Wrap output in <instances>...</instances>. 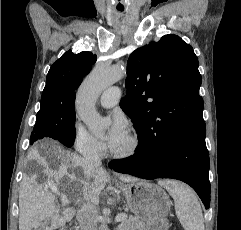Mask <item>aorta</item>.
Segmentation results:
<instances>
[{"mask_svg":"<svg viewBox=\"0 0 241 230\" xmlns=\"http://www.w3.org/2000/svg\"><path fill=\"white\" fill-rule=\"evenodd\" d=\"M126 74V67L123 64L113 66H98L84 80L79 88L76 108L80 119L88 129L100 136L110 124L108 119L100 116L96 110V100L108 87L120 81ZM108 219L102 221L100 230H109Z\"/></svg>","mask_w":241,"mask_h":230,"instance_id":"1","label":"aorta"}]
</instances>
